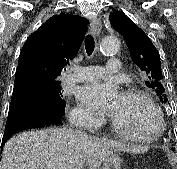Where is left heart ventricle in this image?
I'll list each match as a JSON object with an SVG mask.
<instances>
[{"instance_id":"1","label":"left heart ventricle","mask_w":177,"mask_h":169,"mask_svg":"<svg viewBox=\"0 0 177 169\" xmlns=\"http://www.w3.org/2000/svg\"><path fill=\"white\" fill-rule=\"evenodd\" d=\"M111 117L132 134L152 135L160 129L158 114L141 97L122 94Z\"/></svg>"}]
</instances>
